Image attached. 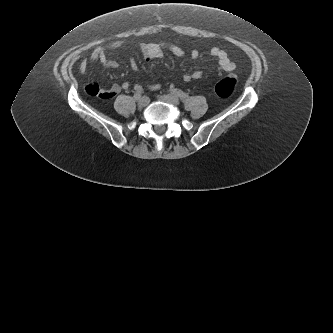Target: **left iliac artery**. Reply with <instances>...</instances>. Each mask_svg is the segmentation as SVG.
<instances>
[{"label": "left iliac artery", "mask_w": 333, "mask_h": 333, "mask_svg": "<svg viewBox=\"0 0 333 333\" xmlns=\"http://www.w3.org/2000/svg\"><path fill=\"white\" fill-rule=\"evenodd\" d=\"M171 93L177 95L181 100H184L188 97V95L185 92L179 89H171Z\"/></svg>", "instance_id": "44dca946"}]
</instances>
